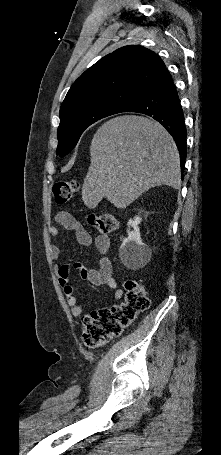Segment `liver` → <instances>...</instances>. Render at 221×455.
Wrapping results in <instances>:
<instances>
[{
	"instance_id": "obj_1",
	"label": "liver",
	"mask_w": 221,
	"mask_h": 455,
	"mask_svg": "<svg viewBox=\"0 0 221 455\" xmlns=\"http://www.w3.org/2000/svg\"><path fill=\"white\" fill-rule=\"evenodd\" d=\"M90 155L82 185V200L89 209L103 198L124 209L152 187H181L177 146L162 125L147 117L108 120L94 134Z\"/></svg>"
}]
</instances>
